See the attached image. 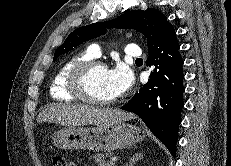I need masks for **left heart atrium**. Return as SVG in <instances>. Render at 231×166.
I'll list each match as a JSON object with an SVG mask.
<instances>
[{
    "label": "left heart atrium",
    "mask_w": 231,
    "mask_h": 166,
    "mask_svg": "<svg viewBox=\"0 0 231 166\" xmlns=\"http://www.w3.org/2000/svg\"><path fill=\"white\" fill-rule=\"evenodd\" d=\"M108 80L113 95L118 97L131 88L133 75L126 66L120 64L108 70Z\"/></svg>",
    "instance_id": "obj_1"
}]
</instances>
